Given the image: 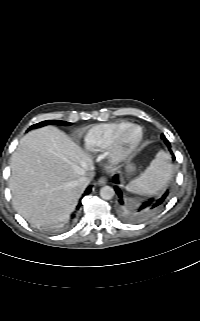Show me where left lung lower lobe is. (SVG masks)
<instances>
[{
    "mask_svg": "<svg viewBox=\"0 0 200 321\" xmlns=\"http://www.w3.org/2000/svg\"><path fill=\"white\" fill-rule=\"evenodd\" d=\"M164 142H167L166 145L170 149V143L166 139L164 140ZM114 182L116 184L119 183V179L117 175L114 176ZM115 191L119 198L118 199L119 209L123 217L130 221H139L146 218L148 215H150L152 212L159 209L164 204L169 194L168 192H166L159 199L151 198L148 201L138 205V204L129 202L126 199V197L123 195V193L121 192L118 186H115Z\"/></svg>",
    "mask_w": 200,
    "mask_h": 321,
    "instance_id": "0a47b994",
    "label": "left lung lower lobe"
}]
</instances>
